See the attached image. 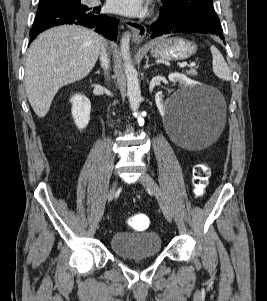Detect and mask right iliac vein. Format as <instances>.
<instances>
[{"label": "right iliac vein", "instance_id": "63e3f726", "mask_svg": "<svg viewBox=\"0 0 267 301\" xmlns=\"http://www.w3.org/2000/svg\"><path fill=\"white\" fill-rule=\"evenodd\" d=\"M116 187H117V181H114L113 184H112V187L110 188V190L107 194V200L108 201H111L114 198Z\"/></svg>", "mask_w": 267, "mask_h": 301}]
</instances>
